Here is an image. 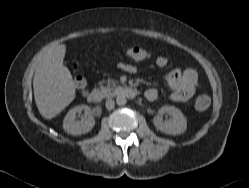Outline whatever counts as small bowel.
Here are the masks:
<instances>
[{"label": "small bowel", "mask_w": 249, "mask_h": 188, "mask_svg": "<svg viewBox=\"0 0 249 188\" xmlns=\"http://www.w3.org/2000/svg\"><path fill=\"white\" fill-rule=\"evenodd\" d=\"M126 57L134 61L144 60L135 59L127 53ZM156 65L159 68H164L168 65V59L165 56H160L156 59ZM119 68L130 74L137 72L136 66L129 63H121ZM166 85L169 98L175 102H186L190 100L202 87L199 75L193 68L173 69L166 77ZM145 95L148 100L156 101L159 97V91L156 88H149Z\"/></svg>", "instance_id": "small-bowel-1"}]
</instances>
